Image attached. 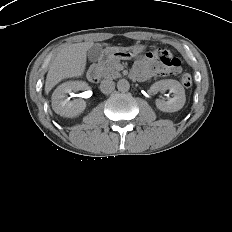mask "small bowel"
I'll return each instance as SVG.
<instances>
[{
	"label": "small bowel",
	"instance_id": "obj_1",
	"mask_svg": "<svg viewBox=\"0 0 232 232\" xmlns=\"http://www.w3.org/2000/svg\"><path fill=\"white\" fill-rule=\"evenodd\" d=\"M128 77L139 83L157 82L159 77L174 78L175 70L166 66H155V63L148 56L140 57L136 60L134 68L128 70ZM159 76V77H158Z\"/></svg>",
	"mask_w": 232,
	"mask_h": 232
}]
</instances>
